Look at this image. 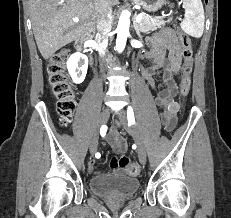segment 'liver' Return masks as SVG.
<instances>
[{"instance_id": "1", "label": "liver", "mask_w": 231, "mask_h": 218, "mask_svg": "<svg viewBox=\"0 0 231 218\" xmlns=\"http://www.w3.org/2000/svg\"><path fill=\"white\" fill-rule=\"evenodd\" d=\"M111 6L119 0H110ZM96 0H29L34 37L44 59L95 29ZM79 18V22H73Z\"/></svg>"}]
</instances>
